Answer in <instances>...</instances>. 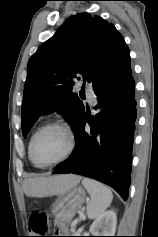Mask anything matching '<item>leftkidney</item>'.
Returning a JSON list of instances; mask_svg holds the SVG:
<instances>
[{"label": "left kidney", "instance_id": "obj_1", "mask_svg": "<svg viewBox=\"0 0 158 237\" xmlns=\"http://www.w3.org/2000/svg\"><path fill=\"white\" fill-rule=\"evenodd\" d=\"M117 216L115 211L108 210L99 216L90 226L92 236H114Z\"/></svg>", "mask_w": 158, "mask_h": 237}]
</instances>
